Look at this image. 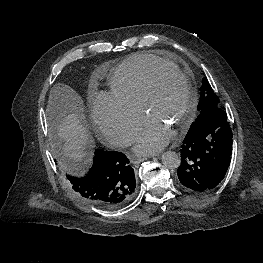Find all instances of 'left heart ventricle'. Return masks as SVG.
I'll return each instance as SVG.
<instances>
[{
    "label": "left heart ventricle",
    "instance_id": "obj_1",
    "mask_svg": "<svg viewBox=\"0 0 263 263\" xmlns=\"http://www.w3.org/2000/svg\"><path fill=\"white\" fill-rule=\"evenodd\" d=\"M186 104L185 83L175 76L165 75L158 82L148 117L160 123L169 132H173Z\"/></svg>",
    "mask_w": 263,
    "mask_h": 263
}]
</instances>
